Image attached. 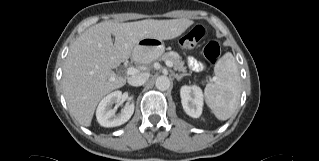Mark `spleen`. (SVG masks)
Instances as JSON below:
<instances>
[{
	"mask_svg": "<svg viewBox=\"0 0 319 161\" xmlns=\"http://www.w3.org/2000/svg\"><path fill=\"white\" fill-rule=\"evenodd\" d=\"M214 82L205 88V100L219 120L229 119L239 105L241 80L231 53L224 54L214 67Z\"/></svg>",
	"mask_w": 319,
	"mask_h": 161,
	"instance_id": "spleen-1",
	"label": "spleen"
}]
</instances>
